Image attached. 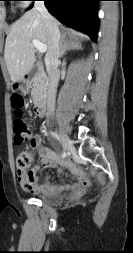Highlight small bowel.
<instances>
[{"label": "small bowel", "instance_id": "1", "mask_svg": "<svg viewBox=\"0 0 133 253\" xmlns=\"http://www.w3.org/2000/svg\"><path fill=\"white\" fill-rule=\"evenodd\" d=\"M30 146L37 151L41 165L34 166L29 171L17 169V179L24 190L31 193H39L53 189L54 187L51 185L49 179H45L44 182L39 183L37 173L40 169L55 164H59L63 168H69L72 171L77 178L74 189L78 190L89 184V179L85 172L78 170L71 161L60 159L51 149L43 145L41 137L35 136L31 140Z\"/></svg>", "mask_w": 133, "mask_h": 253}]
</instances>
